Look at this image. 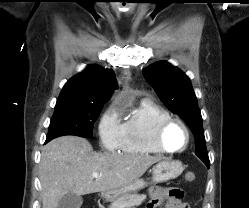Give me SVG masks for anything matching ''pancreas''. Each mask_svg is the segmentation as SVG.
I'll use <instances>...</instances> for the list:
<instances>
[{
  "label": "pancreas",
  "instance_id": "cf45deb5",
  "mask_svg": "<svg viewBox=\"0 0 249 208\" xmlns=\"http://www.w3.org/2000/svg\"><path fill=\"white\" fill-rule=\"evenodd\" d=\"M146 199L144 194H125L112 201L109 208H135Z\"/></svg>",
  "mask_w": 249,
  "mask_h": 208
}]
</instances>
